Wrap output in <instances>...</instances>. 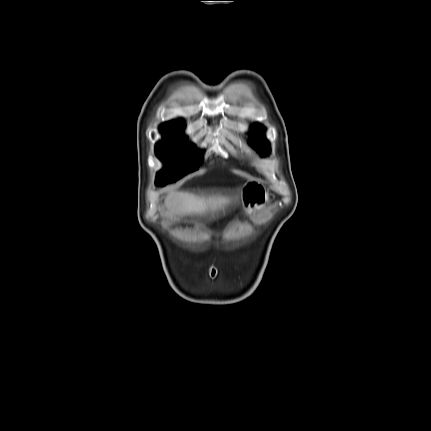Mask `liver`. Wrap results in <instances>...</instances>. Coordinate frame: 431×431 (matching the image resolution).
<instances>
[{"instance_id": "obj_1", "label": "liver", "mask_w": 431, "mask_h": 431, "mask_svg": "<svg viewBox=\"0 0 431 431\" xmlns=\"http://www.w3.org/2000/svg\"><path fill=\"white\" fill-rule=\"evenodd\" d=\"M235 201L238 196H235ZM233 199L221 194L199 195L191 192L171 190L165 197L167 214L171 217L177 215H206L224 211Z\"/></svg>"}]
</instances>
